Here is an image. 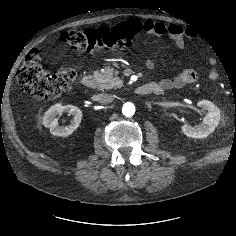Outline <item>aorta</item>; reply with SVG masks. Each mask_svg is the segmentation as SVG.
<instances>
[{"label": "aorta", "mask_w": 236, "mask_h": 236, "mask_svg": "<svg viewBox=\"0 0 236 236\" xmlns=\"http://www.w3.org/2000/svg\"><path fill=\"white\" fill-rule=\"evenodd\" d=\"M122 113L126 117H131L135 113V105L131 102L124 103L122 107Z\"/></svg>", "instance_id": "aorta-1"}]
</instances>
